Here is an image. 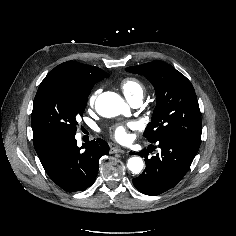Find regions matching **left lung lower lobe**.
<instances>
[{"label":"left lung lower lobe","instance_id":"1","mask_svg":"<svg viewBox=\"0 0 236 236\" xmlns=\"http://www.w3.org/2000/svg\"><path fill=\"white\" fill-rule=\"evenodd\" d=\"M155 143L161 153L151 158H148L146 149L137 153L145 157L146 168L139 177L133 179L134 186L150 196L175 187L187 173L200 147V142L181 137L162 138Z\"/></svg>","mask_w":236,"mask_h":236}]
</instances>
